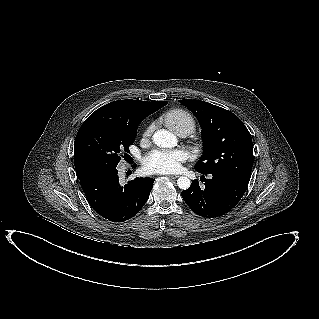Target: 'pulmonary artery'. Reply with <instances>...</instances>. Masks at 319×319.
Here are the masks:
<instances>
[{"label":"pulmonary artery","instance_id":"pulmonary-artery-1","mask_svg":"<svg viewBox=\"0 0 319 319\" xmlns=\"http://www.w3.org/2000/svg\"><path fill=\"white\" fill-rule=\"evenodd\" d=\"M179 135H180V136H185L186 134H185V133H180Z\"/></svg>","mask_w":319,"mask_h":319}]
</instances>
